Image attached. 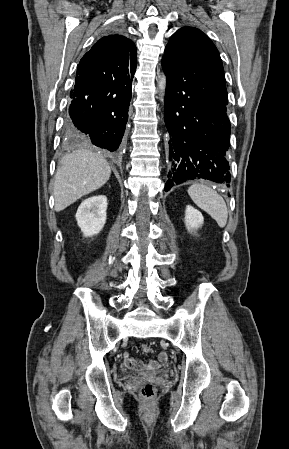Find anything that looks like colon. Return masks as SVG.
<instances>
[{
	"label": "colon",
	"mask_w": 289,
	"mask_h": 449,
	"mask_svg": "<svg viewBox=\"0 0 289 449\" xmlns=\"http://www.w3.org/2000/svg\"><path fill=\"white\" fill-rule=\"evenodd\" d=\"M142 350H143L145 353H151V352H153L152 347L149 346V345H147V344H144V345L142 346ZM141 394H142V396L145 397V398H150V397H152V395L154 394V387H153V385L150 384V383L144 384V385L141 387Z\"/></svg>",
	"instance_id": "obj_1"
}]
</instances>
